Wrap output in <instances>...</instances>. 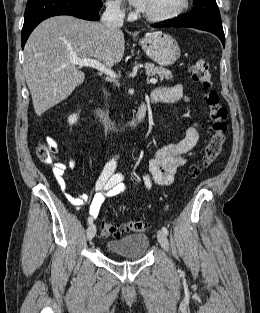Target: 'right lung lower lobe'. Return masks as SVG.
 Instances as JSON below:
<instances>
[{"mask_svg": "<svg viewBox=\"0 0 260 313\" xmlns=\"http://www.w3.org/2000/svg\"><path fill=\"white\" fill-rule=\"evenodd\" d=\"M101 7V0H28L21 34L22 48L41 21L56 15H71L95 21L99 19Z\"/></svg>", "mask_w": 260, "mask_h": 313, "instance_id": "right-lung-lower-lobe-1", "label": "right lung lower lobe"}]
</instances>
